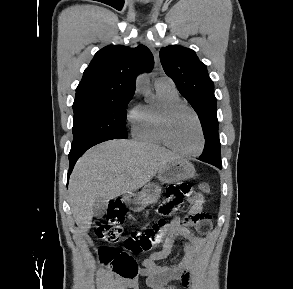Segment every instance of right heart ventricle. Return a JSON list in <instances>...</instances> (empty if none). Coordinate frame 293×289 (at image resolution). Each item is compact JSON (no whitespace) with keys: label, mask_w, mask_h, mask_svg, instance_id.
<instances>
[{"label":"right heart ventricle","mask_w":293,"mask_h":289,"mask_svg":"<svg viewBox=\"0 0 293 289\" xmlns=\"http://www.w3.org/2000/svg\"><path fill=\"white\" fill-rule=\"evenodd\" d=\"M156 96L155 104L142 105L133 113L132 133L140 141L165 146L160 128L161 110L181 99L177 90L171 87H156Z\"/></svg>","instance_id":"obj_1"}]
</instances>
